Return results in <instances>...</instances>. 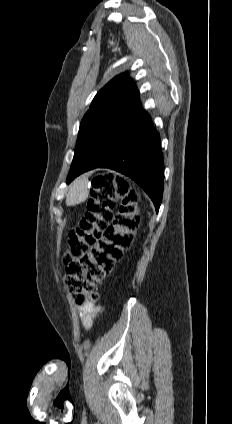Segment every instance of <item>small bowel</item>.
<instances>
[{
    "label": "small bowel",
    "mask_w": 232,
    "mask_h": 424,
    "mask_svg": "<svg viewBox=\"0 0 232 424\" xmlns=\"http://www.w3.org/2000/svg\"><path fill=\"white\" fill-rule=\"evenodd\" d=\"M103 312V306L96 304H90L87 307L81 308L79 311V317L81 319L83 328L86 331L91 330L94 323L100 318Z\"/></svg>",
    "instance_id": "obj_1"
}]
</instances>
